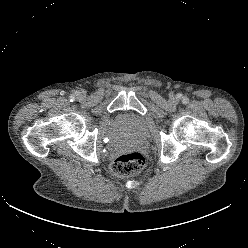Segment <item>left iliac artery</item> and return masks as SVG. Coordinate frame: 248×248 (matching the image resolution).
Wrapping results in <instances>:
<instances>
[{
	"instance_id": "left-iliac-artery-1",
	"label": "left iliac artery",
	"mask_w": 248,
	"mask_h": 248,
	"mask_svg": "<svg viewBox=\"0 0 248 248\" xmlns=\"http://www.w3.org/2000/svg\"><path fill=\"white\" fill-rule=\"evenodd\" d=\"M188 101H189V100H188V98H186V97L183 99V102H184V103H188Z\"/></svg>"
}]
</instances>
